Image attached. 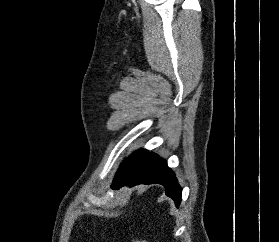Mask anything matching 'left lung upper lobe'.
Segmentation results:
<instances>
[{"mask_svg": "<svg viewBox=\"0 0 279 242\" xmlns=\"http://www.w3.org/2000/svg\"><path fill=\"white\" fill-rule=\"evenodd\" d=\"M148 153L147 150L145 149H141L138 150L134 153H132L131 156H129L128 158H126L123 163L121 164L119 170L117 171V174L114 178V181H117L119 179H121L124 174L135 164L137 163L141 158H143L146 154Z\"/></svg>", "mask_w": 279, "mask_h": 242, "instance_id": "left-lung-upper-lobe-1", "label": "left lung upper lobe"}]
</instances>
